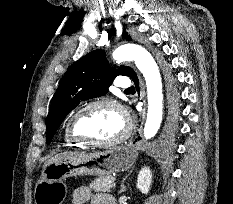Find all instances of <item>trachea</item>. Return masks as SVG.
<instances>
[{"label":"trachea","mask_w":233,"mask_h":204,"mask_svg":"<svg viewBox=\"0 0 233 204\" xmlns=\"http://www.w3.org/2000/svg\"><path fill=\"white\" fill-rule=\"evenodd\" d=\"M133 89H134V87H130V88L126 89L125 91H130V90H133Z\"/></svg>","instance_id":"trachea-1"}]
</instances>
